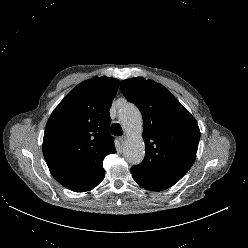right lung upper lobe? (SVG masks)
Here are the masks:
<instances>
[{
	"instance_id": "1",
	"label": "right lung upper lobe",
	"mask_w": 248,
	"mask_h": 248,
	"mask_svg": "<svg viewBox=\"0 0 248 248\" xmlns=\"http://www.w3.org/2000/svg\"><path fill=\"white\" fill-rule=\"evenodd\" d=\"M118 79L95 77L77 85L52 112L45 128L43 154L53 177L74 192L104 179V158L116 152L109 110Z\"/></svg>"
}]
</instances>
